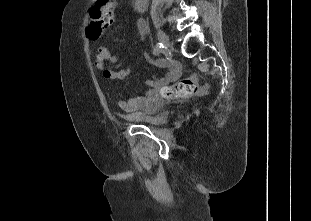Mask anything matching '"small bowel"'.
<instances>
[{"instance_id": "1", "label": "small bowel", "mask_w": 311, "mask_h": 221, "mask_svg": "<svg viewBox=\"0 0 311 221\" xmlns=\"http://www.w3.org/2000/svg\"><path fill=\"white\" fill-rule=\"evenodd\" d=\"M138 30L139 33L143 35L145 33V26L143 24H139ZM118 60V56L111 54L107 45H101L97 48L95 66L98 70L102 71V76L105 80L115 82L124 79L128 75L129 66L120 69L106 67V63L117 64ZM163 83V78L154 76L144 82V86L148 88L144 94H136L133 97L120 98L118 100V105L121 109L127 112L144 109L157 96V93Z\"/></svg>"}]
</instances>
